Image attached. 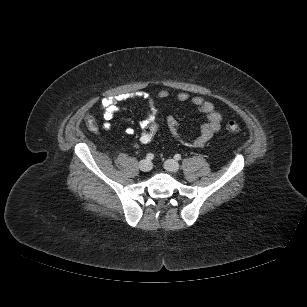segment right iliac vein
<instances>
[{"mask_svg": "<svg viewBox=\"0 0 307 307\" xmlns=\"http://www.w3.org/2000/svg\"><path fill=\"white\" fill-rule=\"evenodd\" d=\"M139 168L141 171L143 172H148L152 169V163L148 160H142L140 163H139Z\"/></svg>", "mask_w": 307, "mask_h": 307, "instance_id": "63e3f726", "label": "right iliac vein"}]
</instances>
